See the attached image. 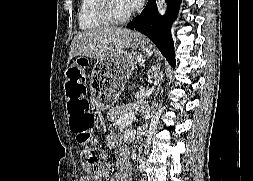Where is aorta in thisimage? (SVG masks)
Listing matches in <instances>:
<instances>
[{
	"mask_svg": "<svg viewBox=\"0 0 253 181\" xmlns=\"http://www.w3.org/2000/svg\"><path fill=\"white\" fill-rule=\"evenodd\" d=\"M156 4H157L158 13L161 16H164L165 10H166V1L165 0H156Z\"/></svg>",
	"mask_w": 253,
	"mask_h": 181,
	"instance_id": "aorta-1",
	"label": "aorta"
}]
</instances>
